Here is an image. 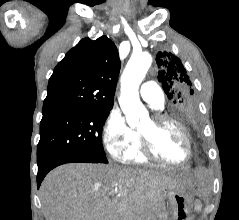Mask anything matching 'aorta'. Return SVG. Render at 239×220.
I'll list each match as a JSON object with an SVG mask.
<instances>
[{"mask_svg": "<svg viewBox=\"0 0 239 220\" xmlns=\"http://www.w3.org/2000/svg\"><path fill=\"white\" fill-rule=\"evenodd\" d=\"M152 63L149 53L133 55L121 77L119 104L131 127L138 125L139 120L146 118L148 112L140 101L139 86Z\"/></svg>", "mask_w": 239, "mask_h": 220, "instance_id": "aorta-1", "label": "aorta"}]
</instances>
